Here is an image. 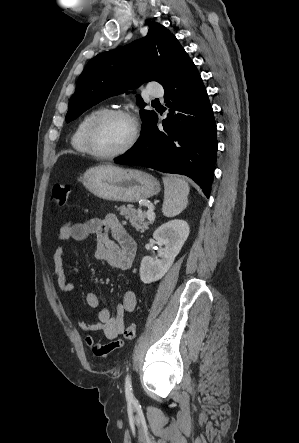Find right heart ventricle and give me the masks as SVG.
<instances>
[{
  "instance_id": "right-heart-ventricle-1",
  "label": "right heart ventricle",
  "mask_w": 299,
  "mask_h": 443,
  "mask_svg": "<svg viewBox=\"0 0 299 443\" xmlns=\"http://www.w3.org/2000/svg\"><path fill=\"white\" fill-rule=\"evenodd\" d=\"M104 110L103 107H97L86 113L76 125V128L71 137V145L75 151L81 154H89L84 141L85 130L91 119Z\"/></svg>"
}]
</instances>
